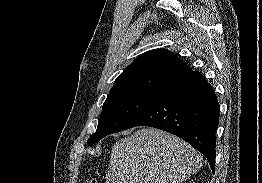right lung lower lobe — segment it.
Returning <instances> with one entry per match:
<instances>
[{"label":"right lung lower lobe","mask_w":262,"mask_h":183,"mask_svg":"<svg viewBox=\"0 0 262 183\" xmlns=\"http://www.w3.org/2000/svg\"><path fill=\"white\" fill-rule=\"evenodd\" d=\"M219 110L212 86L191 71L162 87L123 130L150 126L175 134L200 151L214 172Z\"/></svg>","instance_id":"1"}]
</instances>
